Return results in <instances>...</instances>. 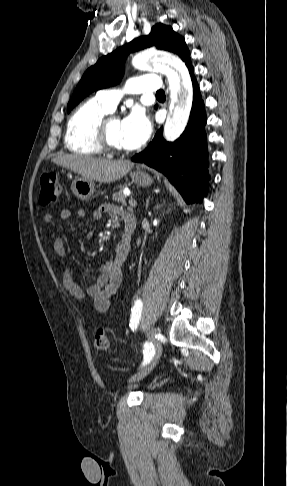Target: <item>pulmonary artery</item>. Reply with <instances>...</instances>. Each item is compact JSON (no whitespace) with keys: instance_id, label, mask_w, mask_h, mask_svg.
I'll use <instances>...</instances> for the list:
<instances>
[{"instance_id":"e3ab8cb5","label":"pulmonary artery","mask_w":287,"mask_h":486,"mask_svg":"<svg viewBox=\"0 0 287 486\" xmlns=\"http://www.w3.org/2000/svg\"><path fill=\"white\" fill-rule=\"evenodd\" d=\"M161 87L162 84L157 75L136 77L129 80L127 84L128 91L133 94L157 92ZM121 96L122 92L120 90L108 89L97 92L95 98L112 111L120 101Z\"/></svg>"}]
</instances>
